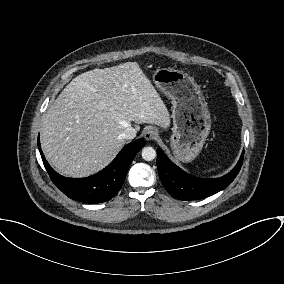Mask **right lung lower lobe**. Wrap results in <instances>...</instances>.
<instances>
[{
    "label": "right lung lower lobe",
    "mask_w": 284,
    "mask_h": 284,
    "mask_svg": "<svg viewBox=\"0 0 284 284\" xmlns=\"http://www.w3.org/2000/svg\"><path fill=\"white\" fill-rule=\"evenodd\" d=\"M145 143L144 140H137L128 144L97 174L74 179L63 177L50 167L43 155L38 137V148L53 183L69 198L85 203H101L113 198L123 185L132 160Z\"/></svg>",
    "instance_id": "right-lung-lower-lobe-1"
}]
</instances>
